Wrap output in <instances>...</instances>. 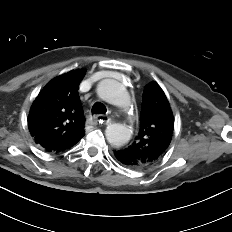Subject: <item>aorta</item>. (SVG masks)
Here are the masks:
<instances>
[{
    "mask_svg": "<svg viewBox=\"0 0 232 232\" xmlns=\"http://www.w3.org/2000/svg\"><path fill=\"white\" fill-rule=\"evenodd\" d=\"M98 96L119 107H127L130 104V96L124 86L116 80L104 79L97 87ZM131 130L122 124H111L107 126L105 135L108 142L116 147H121L128 143L131 138Z\"/></svg>",
    "mask_w": 232,
    "mask_h": 232,
    "instance_id": "1",
    "label": "aorta"
}]
</instances>
